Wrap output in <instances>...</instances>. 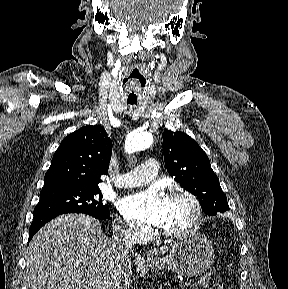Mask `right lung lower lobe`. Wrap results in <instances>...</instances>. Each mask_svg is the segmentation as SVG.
Here are the masks:
<instances>
[{
	"label": "right lung lower lobe",
	"instance_id": "obj_1",
	"mask_svg": "<svg viewBox=\"0 0 288 289\" xmlns=\"http://www.w3.org/2000/svg\"><path fill=\"white\" fill-rule=\"evenodd\" d=\"M60 214H43V215H36L33 217L32 224L29 229V240L34 236V234L48 221L55 218Z\"/></svg>",
	"mask_w": 288,
	"mask_h": 289
}]
</instances>
